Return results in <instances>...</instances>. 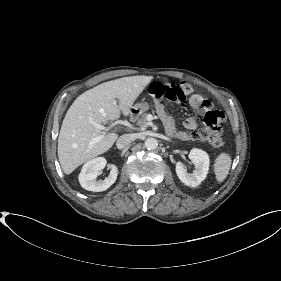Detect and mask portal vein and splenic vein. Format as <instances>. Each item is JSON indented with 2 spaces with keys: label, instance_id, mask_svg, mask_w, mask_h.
<instances>
[{
  "label": "portal vein and splenic vein",
  "instance_id": "1",
  "mask_svg": "<svg viewBox=\"0 0 281 281\" xmlns=\"http://www.w3.org/2000/svg\"><path fill=\"white\" fill-rule=\"evenodd\" d=\"M91 123H92L97 129L104 130V132H103L101 135H99V136H97V137H94V138L90 141V144L93 145V144H95V143L101 141V140L104 138V136L106 135L107 131H109L111 127H110V126H109V127L104 126V125H102V124L96 123L95 121H91ZM115 128H116V129H120V128H122V127H121V126H116Z\"/></svg>",
  "mask_w": 281,
  "mask_h": 281
}]
</instances>
